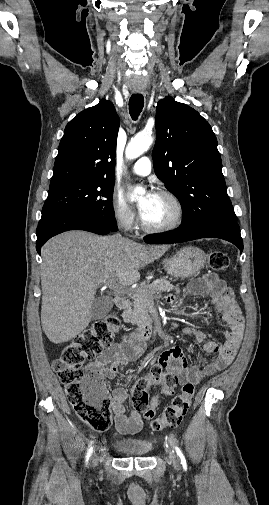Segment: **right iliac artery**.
<instances>
[{"label":"right iliac artery","mask_w":269,"mask_h":505,"mask_svg":"<svg viewBox=\"0 0 269 505\" xmlns=\"http://www.w3.org/2000/svg\"><path fill=\"white\" fill-rule=\"evenodd\" d=\"M92 452H93V447L91 446V447L88 449V451H87V455H86V466L88 465V462H89V460H90V456H91Z\"/></svg>","instance_id":"82829eb1"}]
</instances>
